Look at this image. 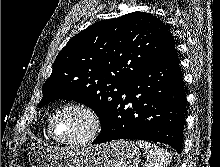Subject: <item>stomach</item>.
<instances>
[{
    "instance_id": "1",
    "label": "stomach",
    "mask_w": 220,
    "mask_h": 167,
    "mask_svg": "<svg viewBox=\"0 0 220 167\" xmlns=\"http://www.w3.org/2000/svg\"><path fill=\"white\" fill-rule=\"evenodd\" d=\"M139 149L129 141H112L82 148L30 149L31 167H138Z\"/></svg>"
}]
</instances>
